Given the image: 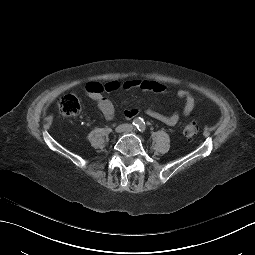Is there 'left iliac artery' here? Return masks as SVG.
Returning a JSON list of instances; mask_svg holds the SVG:
<instances>
[{
  "label": "left iliac artery",
  "instance_id": "left-iliac-artery-1",
  "mask_svg": "<svg viewBox=\"0 0 255 255\" xmlns=\"http://www.w3.org/2000/svg\"><path fill=\"white\" fill-rule=\"evenodd\" d=\"M145 129H146L145 123L144 122L140 123V125L138 126V130L143 133Z\"/></svg>",
  "mask_w": 255,
  "mask_h": 255
}]
</instances>
